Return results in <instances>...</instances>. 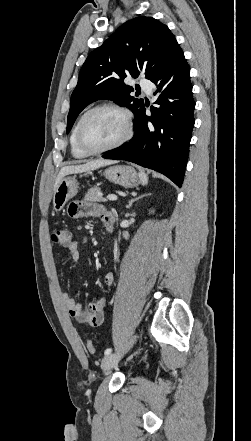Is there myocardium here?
<instances>
[{"mask_svg":"<svg viewBox=\"0 0 251 441\" xmlns=\"http://www.w3.org/2000/svg\"><path fill=\"white\" fill-rule=\"evenodd\" d=\"M101 109H111V110H114V111H117L118 113H120L123 117V120H124L125 130H124L123 135L114 143H112L106 147L100 148V149H90L83 143V140H82L83 124H84V121L86 120V118L91 113H93L97 110H101ZM132 134H133V121H132V115L129 112V110L121 105L111 103V102H105V103H100V104H97V105L91 107L80 117L78 124H77V129H76V143H77L78 147L87 155H99V154L114 150V149L122 146L124 143H126L131 138Z\"/></svg>","mask_w":251,"mask_h":441,"instance_id":"f54148a6","label":"myocardium"}]
</instances>
